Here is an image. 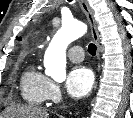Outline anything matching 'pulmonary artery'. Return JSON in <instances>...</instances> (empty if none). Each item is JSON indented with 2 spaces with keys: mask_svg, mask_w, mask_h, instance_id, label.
Here are the masks:
<instances>
[{
  "mask_svg": "<svg viewBox=\"0 0 133 118\" xmlns=\"http://www.w3.org/2000/svg\"><path fill=\"white\" fill-rule=\"evenodd\" d=\"M68 58L72 62H81L84 58L83 48L80 45H74L68 50Z\"/></svg>",
  "mask_w": 133,
  "mask_h": 118,
  "instance_id": "pulmonary-artery-1",
  "label": "pulmonary artery"
}]
</instances>
